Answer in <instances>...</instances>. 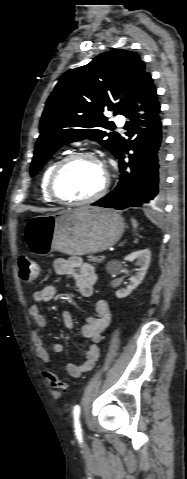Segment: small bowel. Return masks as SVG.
Returning <instances> with one entry per match:
<instances>
[{"label":"small bowel","mask_w":187,"mask_h":479,"mask_svg":"<svg viewBox=\"0 0 187 479\" xmlns=\"http://www.w3.org/2000/svg\"><path fill=\"white\" fill-rule=\"evenodd\" d=\"M54 270L58 275L71 276L76 281L79 293L84 297H89L93 293L94 286L97 281V275L94 267L83 261L78 256H72L67 259L59 258L54 261ZM57 286L50 284L33 294V303L28 309L30 317L34 320L39 328H45L46 319L40 310V304L51 302L57 294ZM112 312L109 304L104 299H98L95 303L94 315L87 318L85 325L82 327V334L90 340L85 360L81 364L68 362L66 364L67 373L73 378H80L84 373L91 371L98 362L100 355L99 343L101 341L102 332L109 325ZM62 321L64 326L72 330L74 327V318L69 310L62 312ZM32 341L35 346L37 357L43 362V374L46 368L52 369L51 359L44 345L41 334L35 330L32 334ZM54 353L60 354L65 350V345L60 342L52 344Z\"/></svg>","instance_id":"small-bowel-1"}]
</instances>
